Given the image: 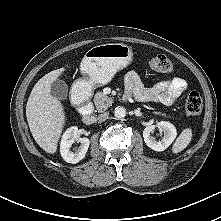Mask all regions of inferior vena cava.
Returning a JSON list of instances; mask_svg holds the SVG:
<instances>
[{
  "label": "inferior vena cava",
  "instance_id": "602c4592",
  "mask_svg": "<svg viewBox=\"0 0 221 221\" xmlns=\"http://www.w3.org/2000/svg\"><path fill=\"white\" fill-rule=\"evenodd\" d=\"M107 118H108V113L105 112V113H102L98 116V121L102 122V121H105Z\"/></svg>",
  "mask_w": 221,
  "mask_h": 221
}]
</instances>
